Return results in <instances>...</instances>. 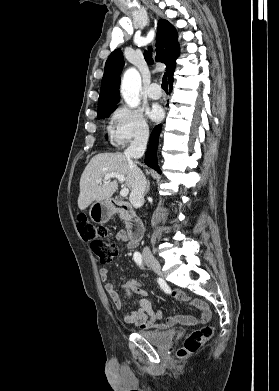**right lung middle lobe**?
Instances as JSON below:
<instances>
[{"label": "right lung middle lobe", "mask_w": 279, "mask_h": 391, "mask_svg": "<svg viewBox=\"0 0 279 391\" xmlns=\"http://www.w3.org/2000/svg\"><path fill=\"white\" fill-rule=\"evenodd\" d=\"M116 107L114 108H109V109H106V110H103L101 112L98 113V119H102V118H105V117H108L110 113L114 112Z\"/></svg>", "instance_id": "obj_1"}]
</instances>
